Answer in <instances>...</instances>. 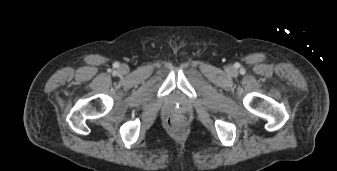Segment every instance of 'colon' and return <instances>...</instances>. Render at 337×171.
<instances>
[{"label":"colon","mask_w":337,"mask_h":171,"mask_svg":"<svg viewBox=\"0 0 337 171\" xmlns=\"http://www.w3.org/2000/svg\"><path fill=\"white\" fill-rule=\"evenodd\" d=\"M167 125L172 130L181 131L185 128L186 121L182 118H169Z\"/></svg>","instance_id":"5ec220e1"}]
</instances>
